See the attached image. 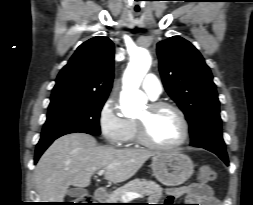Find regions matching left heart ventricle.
Returning a JSON list of instances; mask_svg holds the SVG:
<instances>
[{
  "mask_svg": "<svg viewBox=\"0 0 253 205\" xmlns=\"http://www.w3.org/2000/svg\"><path fill=\"white\" fill-rule=\"evenodd\" d=\"M137 119L147 121L151 139L160 145H171L178 142L183 134V128L178 115L170 109H162L151 113L147 107Z\"/></svg>",
  "mask_w": 253,
  "mask_h": 205,
  "instance_id": "obj_1",
  "label": "left heart ventricle"
}]
</instances>
